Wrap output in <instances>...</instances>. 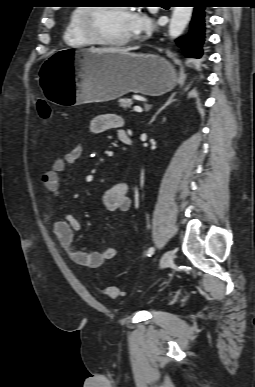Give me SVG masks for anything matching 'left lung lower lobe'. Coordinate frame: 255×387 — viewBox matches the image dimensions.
<instances>
[{"label": "left lung lower lobe", "instance_id": "1", "mask_svg": "<svg viewBox=\"0 0 255 387\" xmlns=\"http://www.w3.org/2000/svg\"><path fill=\"white\" fill-rule=\"evenodd\" d=\"M208 0H185L184 3L194 7L190 31L185 39H178L177 43L184 51L187 58L201 59L206 46V7Z\"/></svg>", "mask_w": 255, "mask_h": 387}]
</instances>
